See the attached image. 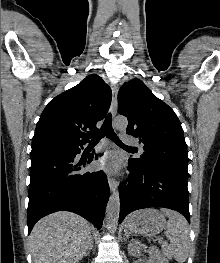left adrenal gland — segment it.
Listing matches in <instances>:
<instances>
[{
  "label": "left adrenal gland",
  "instance_id": "left-adrenal-gland-1",
  "mask_svg": "<svg viewBox=\"0 0 220 263\" xmlns=\"http://www.w3.org/2000/svg\"><path fill=\"white\" fill-rule=\"evenodd\" d=\"M125 236H126V239L130 237V233L126 229H125Z\"/></svg>",
  "mask_w": 220,
  "mask_h": 263
}]
</instances>
